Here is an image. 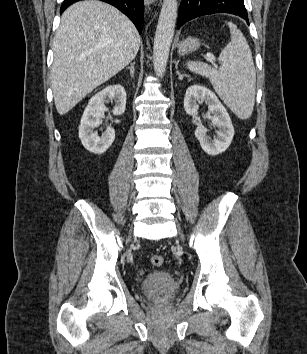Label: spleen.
<instances>
[{"label":"spleen","mask_w":307,"mask_h":354,"mask_svg":"<svg viewBox=\"0 0 307 354\" xmlns=\"http://www.w3.org/2000/svg\"><path fill=\"white\" fill-rule=\"evenodd\" d=\"M231 40L222 49L219 70L202 62H187L194 73L207 77L223 102L241 120L250 118L255 103L256 72L252 53L242 32L228 23Z\"/></svg>","instance_id":"spleen-1"}]
</instances>
